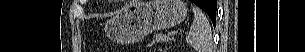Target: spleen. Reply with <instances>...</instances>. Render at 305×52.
Segmentation results:
<instances>
[{"instance_id": "1", "label": "spleen", "mask_w": 305, "mask_h": 52, "mask_svg": "<svg viewBox=\"0 0 305 52\" xmlns=\"http://www.w3.org/2000/svg\"><path fill=\"white\" fill-rule=\"evenodd\" d=\"M192 10L194 20L190 27V32L186 37V42L196 52H212L213 39L209 21L198 7H193Z\"/></svg>"}]
</instances>
